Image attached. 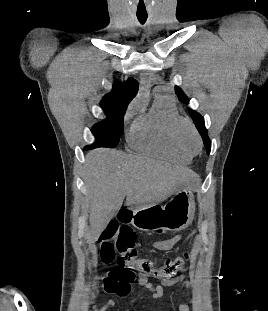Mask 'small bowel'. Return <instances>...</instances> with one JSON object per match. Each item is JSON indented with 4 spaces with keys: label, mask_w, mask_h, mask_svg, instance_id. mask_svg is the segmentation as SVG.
<instances>
[{
    "label": "small bowel",
    "mask_w": 268,
    "mask_h": 311,
    "mask_svg": "<svg viewBox=\"0 0 268 311\" xmlns=\"http://www.w3.org/2000/svg\"><path fill=\"white\" fill-rule=\"evenodd\" d=\"M181 238L182 235L179 234L170 238L152 242L148 244V246L156 250L167 251L172 249L181 240ZM136 283L137 285L144 287L149 292L150 296L155 300L162 298L165 287H171L178 283H182L190 294L192 290L191 283L185 274H178L173 278H161L158 284H153L149 282L148 275L139 272ZM193 302L194 299L191 298V303ZM114 305V301L109 300L101 305L96 311H107L114 307ZM179 311H190V304H180Z\"/></svg>",
    "instance_id": "c3829d8e"
}]
</instances>
